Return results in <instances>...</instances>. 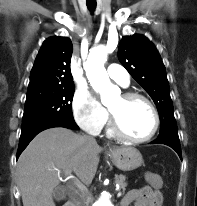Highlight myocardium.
I'll list each match as a JSON object with an SVG mask.
<instances>
[{"label":"myocardium","instance_id":"myocardium-1","mask_svg":"<svg viewBox=\"0 0 197 206\" xmlns=\"http://www.w3.org/2000/svg\"><path fill=\"white\" fill-rule=\"evenodd\" d=\"M122 98L124 100H142V101H144L152 111L153 118H154V125H153L151 132L147 136L139 137V138L133 137V136L129 135L126 131H124V129L121 127L117 117L109 109L112 132L116 136H118L122 139L136 142V143H142V142H147V141L151 140L155 136V134L157 133L159 126H160V116H159V113H158V110H157L155 104L152 102V100L150 98H148L147 96H145L141 93H138V92H132V91L125 92L122 94Z\"/></svg>","mask_w":197,"mask_h":206}]
</instances>
